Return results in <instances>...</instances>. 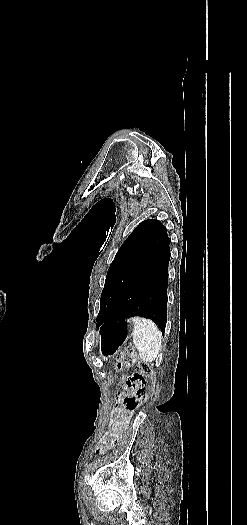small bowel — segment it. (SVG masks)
<instances>
[{"label":"small bowel","instance_id":"1","mask_svg":"<svg viewBox=\"0 0 247 525\" xmlns=\"http://www.w3.org/2000/svg\"><path fill=\"white\" fill-rule=\"evenodd\" d=\"M132 375H126L122 379V389L119 391L118 394V400L116 402L115 408L113 410V419L111 420L108 430L105 432L101 440L97 443L95 451L97 454H103L106 450L105 442L109 439L116 438L123 425L125 424L129 413L124 410V407L121 405V400L123 396L127 395L129 393V388L126 385L127 379Z\"/></svg>","mask_w":247,"mask_h":525}]
</instances>
